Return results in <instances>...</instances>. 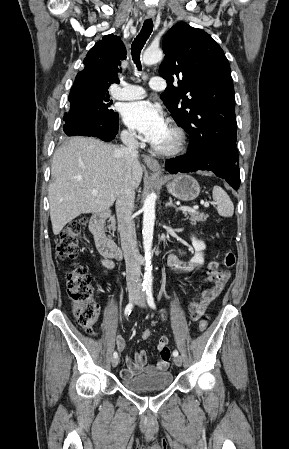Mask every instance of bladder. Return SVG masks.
Wrapping results in <instances>:
<instances>
[{
    "label": "bladder",
    "mask_w": 289,
    "mask_h": 449,
    "mask_svg": "<svg viewBox=\"0 0 289 449\" xmlns=\"http://www.w3.org/2000/svg\"><path fill=\"white\" fill-rule=\"evenodd\" d=\"M173 382V375L169 370L142 373L129 379H124L121 384L124 388L134 392L161 390L168 388Z\"/></svg>",
    "instance_id": "bladder-1"
}]
</instances>
